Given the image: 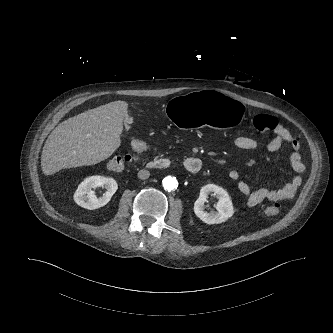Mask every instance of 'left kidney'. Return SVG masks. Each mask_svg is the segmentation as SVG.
<instances>
[{"mask_svg": "<svg viewBox=\"0 0 333 333\" xmlns=\"http://www.w3.org/2000/svg\"><path fill=\"white\" fill-rule=\"evenodd\" d=\"M210 193H214L218 198L217 212L215 213L204 211V202ZM194 213L204 223L219 224L232 217L234 209L226 190L215 184H207L201 188L199 198L194 203Z\"/></svg>", "mask_w": 333, "mask_h": 333, "instance_id": "obj_1", "label": "left kidney"}]
</instances>
